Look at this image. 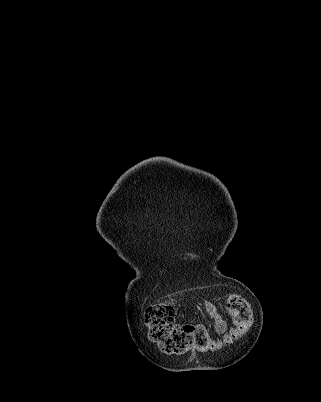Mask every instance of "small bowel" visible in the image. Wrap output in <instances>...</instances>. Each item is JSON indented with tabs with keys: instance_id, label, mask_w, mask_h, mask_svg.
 <instances>
[{
	"instance_id": "small-bowel-1",
	"label": "small bowel",
	"mask_w": 321,
	"mask_h": 402,
	"mask_svg": "<svg viewBox=\"0 0 321 402\" xmlns=\"http://www.w3.org/2000/svg\"><path fill=\"white\" fill-rule=\"evenodd\" d=\"M204 311L207 315L214 319V329L217 333L223 334L227 330V322L219 313L217 306L210 301L203 304Z\"/></svg>"
}]
</instances>
